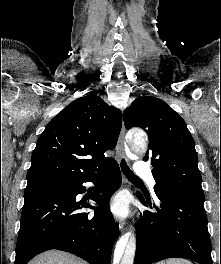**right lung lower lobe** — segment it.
<instances>
[{"label":"right lung lower lobe","mask_w":221,"mask_h":264,"mask_svg":"<svg viewBox=\"0 0 221 264\" xmlns=\"http://www.w3.org/2000/svg\"><path fill=\"white\" fill-rule=\"evenodd\" d=\"M103 173L91 196L98 208L76 202V196L86 191L82 184L96 181ZM120 184L121 172L113 160L92 176L25 191L15 264H27L50 249L70 252L89 264H110L119 228L108 201ZM82 208L94 209V215L82 212Z\"/></svg>","instance_id":"98d812e1"}]
</instances>
